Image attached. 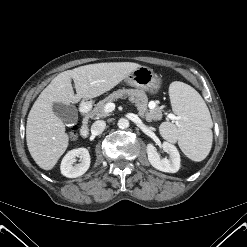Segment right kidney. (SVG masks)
Segmentation results:
<instances>
[{
	"instance_id": "right-kidney-1",
	"label": "right kidney",
	"mask_w": 247,
	"mask_h": 247,
	"mask_svg": "<svg viewBox=\"0 0 247 247\" xmlns=\"http://www.w3.org/2000/svg\"><path fill=\"white\" fill-rule=\"evenodd\" d=\"M76 157L80 159V163L73 166ZM90 160V154L86 148L70 150L62 159L61 173L68 178L79 177L89 169Z\"/></svg>"
}]
</instances>
